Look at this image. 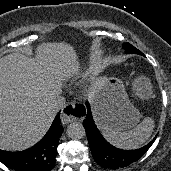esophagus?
Masks as SVG:
<instances>
[{"mask_svg": "<svg viewBox=\"0 0 171 171\" xmlns=\"http://www.w3.org/2000/svg\"><path fill=\"white\" fill-rule=\"evenodd\" d=\"M76 114H77V110H76L75 103L73 102L68 103L65 106L64 112H62L61 114L62 123L68 124V123L78 120V117L76 116Z\"/></svg>", "mask_w": 171, "mask_h": 171, "instance_id": "obj_1", "label": "esophagus"}]
</instances>
